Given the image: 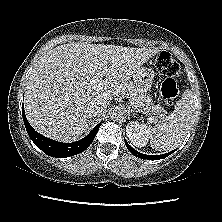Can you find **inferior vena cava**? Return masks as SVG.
<instances>
[{"label": "inferior vena cava", "mask_w": 222, "mask_h": 222, "mask_svg": "<svg viewBox=\"0 0 222 222\" xmlns=\"http://www.w3.org/2000/svg\"><path fill=\"white\" fill-rule=\"evenodd\" d=\"M107 110V104L104 102H99L94 106L93 109H91L92 116L101 115L102 113H105Z\"/></svg>", "instance_id": "602c4592"}]
</instances>
